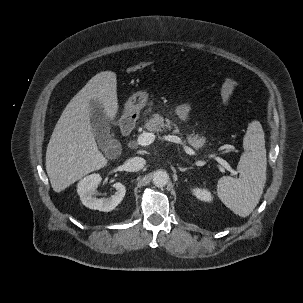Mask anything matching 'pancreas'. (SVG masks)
Listing matches in <instances>:
<instances>
[{"mask_svg": "<svg viewBox=\"0 0 303 303\" xmlns=\"http://www.w3.org/2000/svg\"><path fill=\"white\" fill-rule=\"evenodd\" d=\"M144 127L151 132H165L171 129H173L172 132L174 134L180 132L177 124L168 118L160 116L159 114H153L152 117L145 122ZM187 141L193 148L197 150L202 148L206 143V139L203 136L200 137L194 134H187Z\"/></svg>", "mask_w": 303, "mask_h": 303, "instance_id": "1", "label": "pancreas"}]
</instances>
